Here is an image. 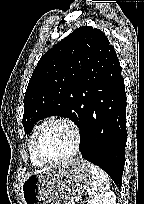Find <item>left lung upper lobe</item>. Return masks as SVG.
I'll list each match as a JSON object with an SVG mask.
<instances>
[{
    "mask_svg": "<svg viewBox=\"0 0 144 204\" xmlns=\"http://www.w3.org/2000/svg\"><path fill=\"white\" fill-rule=\"evenodd\" d=\"M117 58L105 34L82 26L49 49L35 67L24 97L23 127L31 133L46 117H68L82 129L96 69Z\"/></svg>",
    "mask_w": 144,
    "mask_h": 204,
    "instance_id": "5c2ea615",
    "label": "left lung upper lobe"
}]
</instances>
